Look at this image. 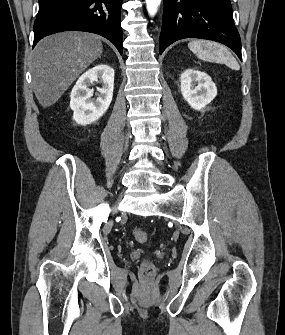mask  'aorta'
I'll list each match as a JSON object with an SVG mask.
<instances>
[{
  "mask_svg": "<svg viewBox=\"0 0 285 335\" xmlns=\"http://www.w3.org/2000/svg\"><path fill=\"white\" fill-rule=\"evenodd\" d=\"M160 4L161 0H146L147 10L150 16H155L156 12H158Z\"/></svg>",
  "mask_w": 285,
  "mask_h": 335,
  "instance_id": "1",
  "label": "aorta"
}]
</instances>
